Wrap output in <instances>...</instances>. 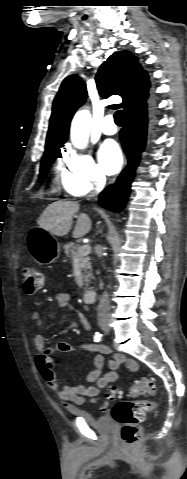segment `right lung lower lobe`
Listing matches in <instances>:
<instances>
[{"instance_id": "obj_1", "label": "right lung lower lobe", "mask_w": 187, "mask_h": 479, "mask_svg": "<svg viewBox=\"0 0 187 479\" xmlns=\"http://www.w3.org/2000/svg\"><path fill=\"white\" fill-rule=\"evenodd\" d=\"M151 99L146 106L125 113L126 125L120 139L128 157V165L114 184L109 185L99 196V203L113 212L123 210L130 193L131 183L146 143L148 116Z\"/></svg>"}]
</instances>
